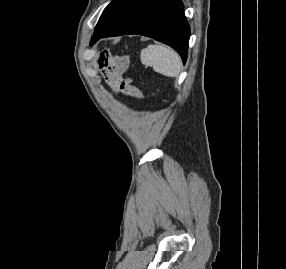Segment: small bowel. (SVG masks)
I'll use <instances>...</instances> for the list:
<instances>
[{
    "label": "small bowel",
    "mask_w": 286,
    "mask_h": 269,
    "mask_svg": "<svg viewBox=\"0 0 286 269\" xmlns=\"http://www.w3.org/2000/svg\"><path fill=\"white\" fill-rule=\"evenodd\" d=\"M98 64L102 77L112 88L120 89L123 92L128 90V88H124V83L121 82L123 70H118V65L109 58L108 54L100 55Z\"/></svg>",
    "instance_id": "small-bowel-1"
}]
</instances>
